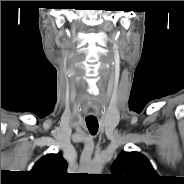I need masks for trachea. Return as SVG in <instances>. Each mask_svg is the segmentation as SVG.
<instances>
[{"label": "trachea", "instance_id": "obj_1", "mask_svg": "<svg viewBox=\"0 0 184 184\" xmlns=\"http://www.w3.org/2000/svg\"><path fill=\"white\" fill-rule=\"evenodd\" d=\"M86 124L92 135L98 132V121L96 118H86Z\"/></svg>", "mask_w": 184, "mask_h": 184}]
</instances>
